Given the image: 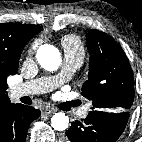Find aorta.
<instances>
[{
    "mask_svg": "<svg viewBox=\"0 0 142 142\" xmlns=\"http://www.w3.org/2000/svg\"><path fill=\"white\" fill-rule=\"evenodd\" d=\"M36 58L38 63L48 71L57 70L61 64L60 52L51 44L41 45L37 50ZM51 125L57 131H64L69 125V118L65 113H55L51 118Z\"/></svg>",
    "mask_w": 142,
    "mask_h": 142,
    "instance_id": "762f6f07",
    "label": "aorta"
}]
</instances>
